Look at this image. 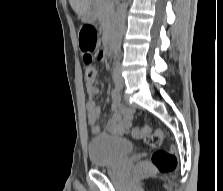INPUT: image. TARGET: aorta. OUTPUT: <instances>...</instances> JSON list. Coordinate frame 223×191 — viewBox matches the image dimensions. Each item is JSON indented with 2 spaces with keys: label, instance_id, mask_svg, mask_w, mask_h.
<instances>
[{
  "label": "aorta",
  "instance_id": "aorta-1",
  "mask_svg": "<svg viewBox=\"0 0 223 191\" xmlns=\"http://www.w3.org/2000/svg\"><path fill=\"white\" fill-rule=\"evenodd\" d=\"M126 10L127 6L124 2L118 6L115 13L114 30L110 40V45L115 57L118 55L121 48L122 37L125 29Z\"/></svg>",
  "mask_w": 223,
  "mask_h": 191
}]
</instances>
